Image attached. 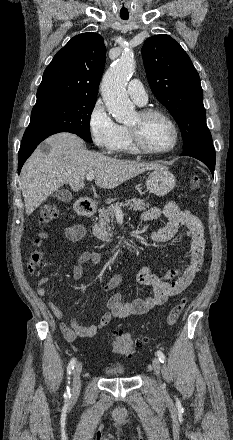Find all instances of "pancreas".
I'll return each instance as SVG.
<instances>
[{"mask_svg": "<svg viewBox=\"0 0 233 440\" xmlns=\"http://www.w3.org/2000/svg\"><path fill=\"white\" fill-rule=\"evenodd\" d=\"M124 206H130L135 211H145L150 207L149 203H145L141 199H129L126 203H114L107 209L101 208L99 212V221L93 226V235L103 242H109L112 237L110 224L115 222L116 209Z\"/></svg>", "mask_w": 233, "mask_h": 440, "instance_id": "pancreas-1", "label": "pancreas"}]
</instances>
